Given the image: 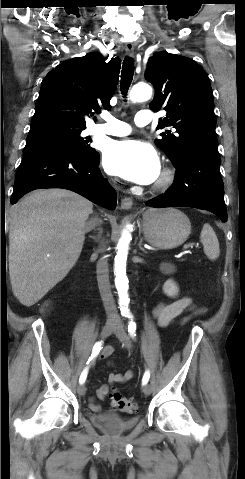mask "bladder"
<instances>
[{
    "instance_id": "1",
    "label": "bladder",
    "mask_w": 245,
    "mask_h": 479,
    "mask_svg": "<svg viewBox=\"0 0 245 479\" xmlns=\"http://www.w3.org/2000/svg\"><path fill=\"white\" fill-rule=\"evenodd\" d=\"M91 422L105 433L117 435L131 429L136 424L137 418L94 416L91 418Z\"/></svg>"
}]
</instances>
